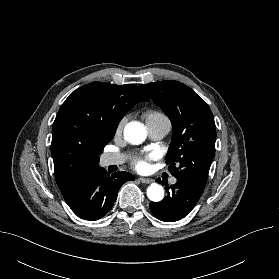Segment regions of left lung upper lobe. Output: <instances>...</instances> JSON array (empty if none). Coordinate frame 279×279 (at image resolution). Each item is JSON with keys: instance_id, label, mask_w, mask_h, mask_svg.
<instances>
[{"instance_id": "5c2ea615", "label": "left lung upper lobe", "mask_w": 279, "mask_h": 279, "mask_svg": "<svg viewBox=\"0 0 279 279\" xmlns=\"http://www.w3.org/2000/svg\"><path fill=\"white\" fill-rule=\"evenodd\" d=\"M172 122L166 164L178 180L205 188L215 155L216 126L206 102L178 81L141 84Z\"/></svg>"}]
</instances>
